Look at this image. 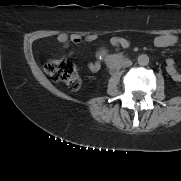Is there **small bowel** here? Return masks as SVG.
<instances>
[{
    "label": "small bowel",
    "instance_id": "1",
    "mask_svg": "<svg viewBox=\"0 0 181 181\" xmlns=\"http://www.w3.org/2000/svg\"><path fill=\"white\" fill-rule=\"evenodd\" d=\"M57 41L63 45L65 48H68L70 45H77L83 41V37L78 34L68 35L61 33L57 36ZM96 39L95 35H88L84 38L87 42H92ZM179 41V38L175 34H162L157 36L154 39V44L159 48H166L172 45H175ZM111 44L114 48H126L129 45L128 40L121 37H114L111 39ZM91 71H97L100 68V63L98 61L92 62L88 65ZM166 71L168 75L176 82H181V72L177 69L174 60L168 59L166 61Z\"/></svg>",
    "mask_w": 181,
    "mask_h": 181
}]
</instances>
